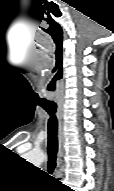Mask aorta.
Segmentation results:
<instances>
[{
  "instance_id": "1",
  "label": "aorta",
  "mask_w": 114,
  "mask_h": 191,
  "mask_svg": "<svg viewBox=\"0 0 114 191\" xmlns=\"http://www.w3.org/2000/svg\"><path fill=\"white\" fill-rule=\"evenodd\" d=\"M27 159L34 164H40L43 161L44 156L41 152L31 151L27 154Z\"/></svg>"
}]
</instances>
